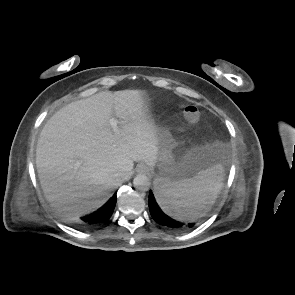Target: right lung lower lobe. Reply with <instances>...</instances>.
<instances>
[{"label":"right lung lower lobe","instance_id":"obj_1","mask_svg":"<svg viewBox=\"0 0 295 295\" xmlns=\"http://www.w3.org/2000/svg\"><path fill=\"white\" fill-rule=\"evenodd\" d=\"M116 205V195H114L103 207L97 211L83 216L81 218L83 225L86 227H93L98 224L106 222L113 213Z\"/></svg>","mask_w":295,"mask_h":295}]
</instances>
